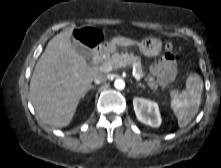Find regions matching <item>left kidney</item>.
Here are the masks:
<instances>
[{"mask_svg":"<svg viewBox=\"0 0 221 168\" xmlns=\"http://www.w3.org/2000/svg\"><path fill=\"white\" fill-rule=\"evenodd\" d=\"M133 106L136 117L140 122L151 127L161 125V116L156 102L136 97L133 100Z\"/></svg>","mask_w":221,"mask_h":168,"instance_id":"left-kidney-1","label":"left kidney"}]
</instances>
